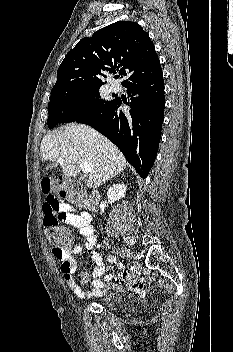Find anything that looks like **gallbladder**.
<instances>
[{
  "mask_svg": "<svg viewBox=\"0 0 233 352\" xmlns=\"http://www.w3.org/2000/svg\"><path fill=\"white\" fill-rule=\"evenodd\" d=\"M83 186H84V183L82 181L76 180L69 184V189L75 191V190H79Z\"/></svg>",
  "mask_w": 233,
  "mask_h": 352,
  "instance_id": "obj_1",
  "label": "gallbladder"
}]
</instances>
